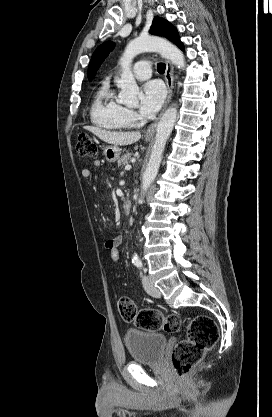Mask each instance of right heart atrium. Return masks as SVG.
I'll return each mask as SVG.
<instances>
[{
    "mask_svg": "<svg viewBox=\"0 0 272 417\" xmlns=\"http://www.w3.org/2000/svg\"><path fill=\"white\" fill-rule=\"evenodd\" d=\"M124 115L128 122L133 123L137 119V114L133 109L124 108Z\"/></svg>",
    "mask_w": 272,
    "mask_h": 417,
    "instance_id": "d8ad5b80",
    "label": "right heart atrium"
}]
</instances>
